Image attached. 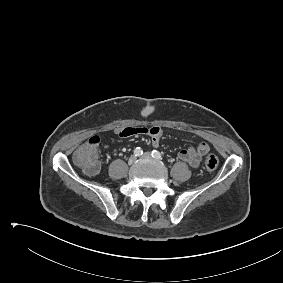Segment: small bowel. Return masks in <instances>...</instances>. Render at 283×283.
Listing matches in <instances>:
<instances>
[{"label":"small bowel","mask_w":283,"mask_h":283,"mask_svg":"<svg viewBox=\"0 0 283 283\" xmlns=\"http://www.w3.org/2000/svg\"><path fill=\"white\" fill-rule=\"evenodd\" d=\"M116 134L122 138L130 137L137 134H145L151 138L152 145L156 147L158 146L160 138L162 136V130L159 127H149V128L121 127L116 130ZM208 151H209L208 143L205 141H200L195 146H191L189 148L181 150L178 153V158L188 163L192 167H197L201 162L202 157Z\"/></svg>","instance_id":"1"}]
</instances>
